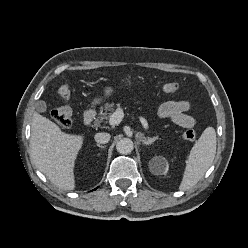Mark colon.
<instances>
[{
    "mask_svg": "<svg viewBox=\"0 0 248 248\" xmlns=\"http://www.w3.org/2000/svg\"><path fill=\"white\" fill-rule=\"evenodd\" d=\"M179 85L176 82H166L161 86V90L164 94H173L178 91ZM60 97L65 101L63 105L52 111L53 121L62 129H67L72 124L73 109L69 103L71 90L68 85H62L58 91ZM183 137L187 141H194L196 138V132L194 129H187L183 132Z\"/></svg>",
    "mask_w": 248,
    "mask_h": 248,
    "instance_id": "obj_1",
    "label": "colon"
}]
</instances>
